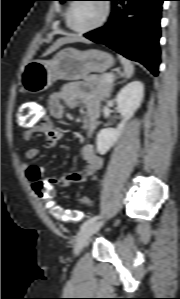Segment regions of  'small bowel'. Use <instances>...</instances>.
Returning <instances> with one entry per match:
<instances>
[{
  "mask_svg": "<svg viewBox=\"0 0 180 299\" xmlns=\"http://www.w3.org/2000/svg\"><path fill=\"white\" fill-rule=\"evenodd\" d=\"M79 103L83 104L86 110V127L89 132H93L99 121L100 101L90 90L82 84H74L64 87L62 90L52 94L48 99V109L50 117L44 118L39 124L29 127L22 136L24 141H29L34 133H43L47 143L50 146H56L63 140L62 132L57 129L53 119L65 118V105L74 108ZM38 149L31 147L26 150L25 157L27 160H32L38 156ZM81 158L85 162L83 171H71L62 176L46 178L44 170L39 167L30 165L24 166L26 179L31 183L42 182L51 183L61 187H68L73 184L83 182L87 177L98 172L103 164L102 158L96 154L94 147L91 144L82 146Z\"/></svg>",
  "mask_w": 180,
  "mask_h": 299,
  "instance_id": "small-bowel-1",
  "label": "small bowel"
}]
</instances>
